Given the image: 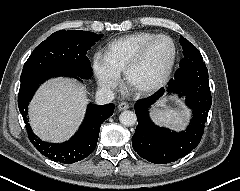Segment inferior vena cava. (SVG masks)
Here are the masks:
<instances>
[{"label":"inferior vena cava","mask_w":240,"mask_h":191,"mask_svg":"<svg viewBox=\"0 0 240 191\" xmlns=\"http://www.w3.org/2000/svg\"><path fill=\"white\" fill-rule=\"evenodd\" d=\"M114 99V92L111 89L100 88L96 92L95 101L99 105L111 103Z\"/></svg>","instance_id":"1"}]
</instances>
